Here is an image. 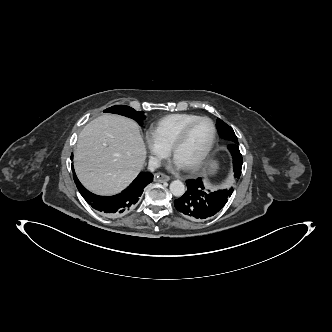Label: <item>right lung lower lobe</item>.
<instances>
[{
  "instance_id": "98d812e1",
  "label": "right lung lower lobe",
  "mask_w": 332,
  "mask_h": 332,
  "mask_svg": "<svg viewBox=\"0 0 332 332\" xmlns=\"http://www.w3.org/2000/svg\"><path fill=\"white\" fill-rule=\"evenodd\" d=\"M73 156H71V159ZM74 181L88 204L101 214L109 217H116L131 211L143 193V189L153 180V175L149 172H141L137 178L120 194L114 196H98L83 187L73 169Z\"/></svg>"
}]
</instances>
